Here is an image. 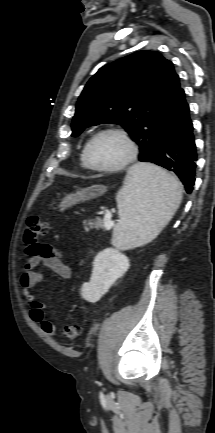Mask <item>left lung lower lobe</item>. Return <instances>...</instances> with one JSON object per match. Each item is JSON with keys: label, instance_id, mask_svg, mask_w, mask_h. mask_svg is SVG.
<instances>
[{"label": "left lung lower lobe", "instance_id": "1", "mask_svg": "<svg viewBox=\"0 0 215 433\" xmlns=\"http://www.w3.org/2000/svg\"><path fill=\"white\" fill-rule=\"evenodd\" d=\"M189 106L183 89L177 96L169 121L162 131L156 155L151 161L175 173L190 194L195 183L197 151Z\"/></svg>", "mask_w": 215, "mask_h": 433}]
</instances>
